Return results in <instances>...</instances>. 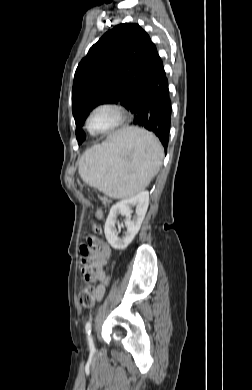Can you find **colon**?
Masks as SVG:
<instances>
[{
    "mask_svg": "<svg viewBox=\"0 0 252 390\" xmlns=\"http://www.w3.org/2000/svg\"><path fill=\"white\" fill-rule=\"evenodd\" d=\"M103 217V212L98 209L95 212V220L100 221ZM93 230L95 233H101V227L98 223H95L93 225ZM85 262V261H83ZM82 273L85 276V278L88 280L90 277V271L86 268V263L82 267ZM96 299L95 290L91 285H87L86 287L82 288L79 293V300L82 306L84 307H92L94 305Z\"/></svg>",
    "mask_w": 252,
    "mask_h": 390,
    "instance_id": "obj_1",
    "label": "colon"
}]
</instances>
